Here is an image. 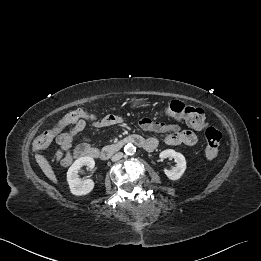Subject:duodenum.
<instances>
[{"label":"duodenum","instance_id":"410a0bca","mask_svg":"<svg viewBox=\"0 0 261 261\" xmlns=\"http://www.w3.org/2000/svg\"><path fill=\"white\" fill-rule=\"evenodd\" d=\"M128 144H134L146 151H152L156 147L155 141L151 139H144L138 135H132L119 140L116 143L104 147L102 150L95 152V157L101 160L110 158L114 153L120 151Z\"/></svg>","mask_w":261,"mask_h":261}]
</instances>
